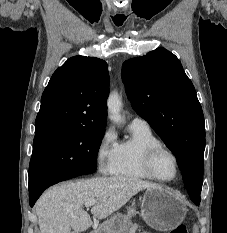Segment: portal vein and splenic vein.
<instances>
[{
    "mask_svg": "<svg viewBox=\"0 0 227 233\" xmlns=\"http://www.w3.org/2000/svg\"><path fill=\"white\" fill-rule=\"evenodd\" d=\"M95 204V201H89V202H86L85 203V207L86 208H89V207H91L92 205H94Z\"/></svg>",
    "mask_w": 227,
    "mask_h": 233,
    "instance_id": "obj_1",
    "label": "portal vein and splenic vein"
}]
</instances>
